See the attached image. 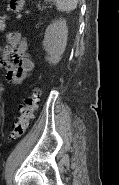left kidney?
I'll list each match as a JSON object with an SVG mask.
<instances>
[{
    "mask_svg": "<svg viewBox=\"0 0 119 185\" xmlns=\"http://www.w3.org/2000/svg\"><path fill=\"white\" fill-rule=\"evenodd\" d=\"M68 37V28L65 19H58L53 21L45 31L43 40V47L47 52L46 60L55 65L61 60Z\"/></svg>",
    "mask_w": 119,
    "mask_h": 185,
    "instance_id": "1",
    "label": "left kidney"
}]
</instances>
